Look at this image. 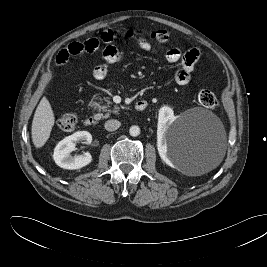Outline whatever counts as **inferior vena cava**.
Returning a JSON list of instances; mask_svg holds the SVG:
<instances>
[{"label": "inferior vena cava", "instance_id": "1", "mask_svg": "<svg viewBox=\"0 0 267 267\" xmlns=\"http://www.w3.org/2000/svg\"><path fill=\"white\" fill-rule=\"evenodd\" d=\"M120 126H121L120 121L115 120V119L108 120V121H106V123H105V129H106L107 131H115V130H117Z\"/></svg>", "mask_w": 267, "mask_h": 267}]
</instances>
